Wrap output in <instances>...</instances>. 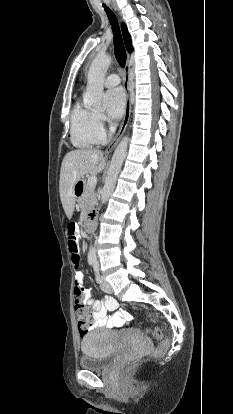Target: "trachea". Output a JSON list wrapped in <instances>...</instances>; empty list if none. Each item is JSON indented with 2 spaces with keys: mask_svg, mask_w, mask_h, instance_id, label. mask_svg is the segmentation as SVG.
Listing matches in <instances>:
<instances>
[{
  "mask_svg": "<svg viewBox=\"0 0 233 414\" xmlns=\"http://www.w3.org/2000/svg\"><path fill=\"white\" fill-rule=\"evenodd\" d=\"M103 7L107 13V16L109 18L110 24L112 26V31H113V40H114V52H115V57L117 62L119 63V65L121 67H125V63H126V51L124 48V44H123V40H122V35L120 32V27L118 24V21L116 19V16L114 15V13L105 5L103 4Z\"/></svg>",
  "mask_w": 233,
  "mask_h": 414,
  "instance_id": "trachea-1",
  "label": "trachea"
}]
</instances>
